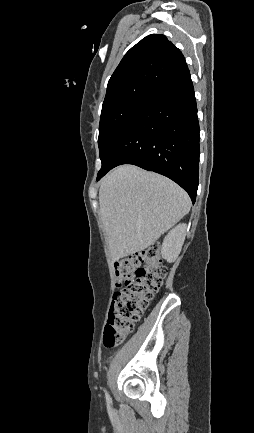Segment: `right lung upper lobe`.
<instances>
[{"label": "right lung upper lobe", "instance_id": "1", "mask_svg": "<svg viewBox=\"0 0 254 433\" xmlns=\"http://www.w3.org/2000/svg\"><path fill=\"white\" fill-rule=\"evenodd\" d=\"M187 69L185 58L164 35H149L133 46L112 74L102 108L127 99H149Z\"/></svg>", "mask_w": 254, "mask_h": 433}]
</instances>
